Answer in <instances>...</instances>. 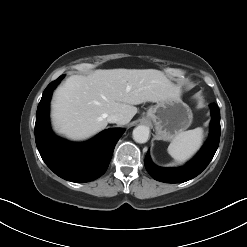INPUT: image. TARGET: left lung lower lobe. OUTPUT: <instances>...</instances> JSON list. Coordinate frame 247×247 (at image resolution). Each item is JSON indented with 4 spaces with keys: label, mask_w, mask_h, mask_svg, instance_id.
<instances>
[{
    "label": "left lung lower lobe",
    "mask_w": 247,
    "mask_h": 247,
    "mask_svg": "<svg viewBox=\"0 0 247 247\" xmlns=\"http://www.w3.org/2000/svg\"><path fill=\"white\" fill-rule=\"evenodd\" d=\"M210 106L212 114L210 135L200 152L184 167L162 168L152 163L148 151L145 157V167L152 178L165 183H182L193 179L208 166L218 148L221 130L220 110L215 103Z\"/></svg>",
    "instance_id": "left-lung-lower-lobe-1"
}]
</instances>
